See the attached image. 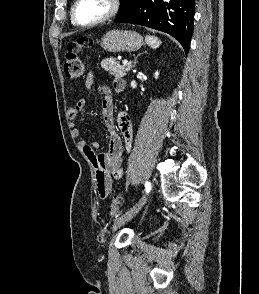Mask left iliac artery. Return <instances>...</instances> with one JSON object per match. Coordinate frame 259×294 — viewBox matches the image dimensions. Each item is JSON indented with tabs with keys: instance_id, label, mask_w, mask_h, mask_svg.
I'll return each mask as SVG.
<instances>
[{
	"instance_id": "obj_1",
	"label": "left iliac artery",
	"mask_w": 259,
	"mask_h": 294,
	"mask_svg": "<svg viewBox=\"0 0 259 294\" xmlns=\"http://www.w3.org/2000/svg\"><path fill=\"white\" fill-rule=\"evenodd\" d=\"M145 190H146V193H149L151 190V184L148 181L145 182Z\"/></svg>"
}]
</instances>
